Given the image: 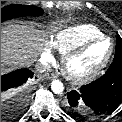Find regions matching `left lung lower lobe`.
Masks as SVG:
<instances>
[{
	"label": "left lung lower lobe",
	"mask_w": 122,
	"mask_h": 122,
	"mask_svg": "<svg viewBox=\"0 0 122 122\" xmlns=\"http://www.w3.org/2000/svg\"><path fill=\"white\" fill-rule=\"evenodd\" d=\"M122 102V59L113 60L106 73L67 94V108L73 114L97 117L114 111Z\"/></svg>",
	"instance_id": "obj_1"
}]
</instances>
